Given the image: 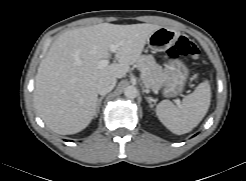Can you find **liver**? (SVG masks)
Here are the masks:
<instances>
[{"instance_id": "1", "label": "liver", "mask_w": 246, "mask_h": 181, "mask_svg": "<svg viewBox=\"0 0 246 181\" xmlns=\"http://www.w3.org/2000/svg\"><path fill=\"white\" fill-rule=\"evenodd\" d=\"M156 24L101 23L61 34L41 61L35 77L34 105L46 126L61 134L85 129L97 110L96 84L102 77L122 78L141 57ZM118 44V63L99 68Z\"/></svg>"}]
</instances>
